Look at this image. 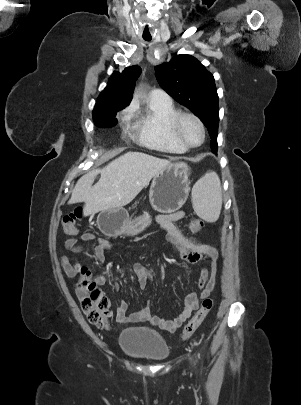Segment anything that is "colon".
<instances>
[{
	"label": "colon",
	"instance_id": "1",
	"mask_svg": "<svg viewBox=\"0 0 301 405\" xmlns=\"http://www.w3.org/2000/svg\"><path fill=\"white\" fill-rule=\"evenodd\" d=\"M83 217L81 208H77L62 217L61 225L65 233L76 235L78 233L77 222ZM193 233L200 232L204 227V222L200 219L191 220L188 224ZM79 294L81 307L88 321L98 327H106L110 317V306L108 298L92 280L90 271L83 267L80 271V278L76 285ZM213 307V300L206 297L201 307L186 324L182 332V338L187 340L202 324L203 320Z\"/></svg>",
	"mask_w": 301,
	"mask_h": 405
}]
</instances>
